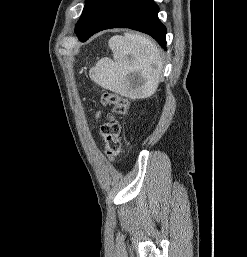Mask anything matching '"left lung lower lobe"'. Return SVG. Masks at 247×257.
I'll list each match as a JSON object with an SVG mask.
<instances>
[{"label": "left lung lower lobe", "instance_id": "obj_1", "mask_svg": "<svg viewBox=\"0 0 247 257\" xmlns=\"http://www.w3.org/2000/svg\"><path fill=\"white\" fill-rule=\"evenodd\" d=\"M158 11L153 0H97L77 36L85 42L101 30L127 27L149 34L166 49V27Z\"/></svg>", "mask_w": 247, "mask_h": 257}]
</instances>
